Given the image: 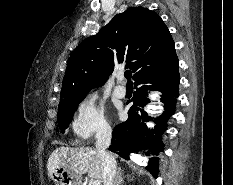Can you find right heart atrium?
Listing matches in <instances>:
<instances>
[{"mask_svg": "<svg viewBox=\"0 0 233 185\" xmlns=\"http://www.w3.org/2000/svg\"><path fill=\"white\" fill-rule=\"evenodd\" d=\"M74 137L80 141H88L110 131L104 106L95 96H87L78 104L71 124Z\"/></svg>", "mask_w": 233, "mask_h": 185, "instance_id": "right-heart-atrium-1", "label": "right heart atrium"}]
</instances>
